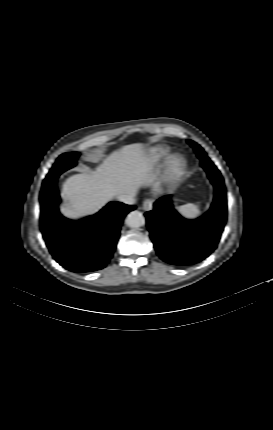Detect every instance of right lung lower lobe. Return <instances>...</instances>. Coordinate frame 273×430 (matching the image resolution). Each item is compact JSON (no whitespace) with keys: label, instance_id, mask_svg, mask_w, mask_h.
<instances>
[{"label":"right lung lower lobe","instance_id":"1","mask_svg":"<svg viewBox=\"0 0 273 430\" xmlns=\"http://www.w3.org/2000/svg\"><path fill=\"white\" fill-rule=\"evenodd\" d=\"M59 201L57 179L43 183L40 225L53 258L76 273L106 267L115 251L123 219L135 206L110 202L99 213L72 221L59 213Z\"/></svg>","mask_w":273,"mask_h":430}]
</instances>
